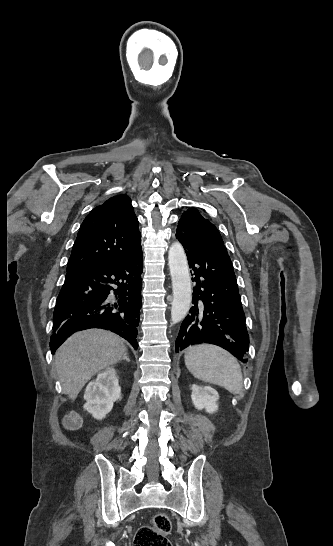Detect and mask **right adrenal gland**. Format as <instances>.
<instances>
[{"mask_svg":"<svg viewBox=\"0 0 333 546\" xmlns=\"http://www.w3.org/2000/svg\"><path fill=\"white\" fill-rule=\"evenodd\" d=\"M122 360H126L127 362H130V359L127 357V352L124 354Z\"/></svg>","mask_w":333,"mask_h":546,"instance_id":"obj_1","label":"right adrenal gland"}]
</instances>
